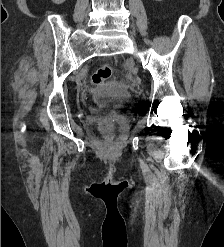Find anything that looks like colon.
<instances>
[{
	"label": "colon",
	"instance_id": "obj_1",
	"mask_svg": "<svg viewBox=\"0 0 224 247\" xmlns=\"http://www.w3.org/2000/svg\"><path fill=\"white\" fill-rule=\"evenodd\" d=\"M112 68L108 64L100 65L92 75V82L96 85H109L111 83ZM100 129L103 132L111 130L108 123H102Z\"/></svg>",
	"mask_w": 224,
	"mask_h": 247
}]
</instances>
